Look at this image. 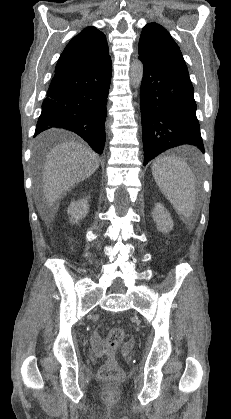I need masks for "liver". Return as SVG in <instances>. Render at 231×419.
Returning a JSON list of instances; mask_svg holds the SVG:
<instances>
[{"mask_svg": "<svg viewBox=\"0 0 231 419\" xmlns=\"http://www.w3.org/2000/svg\"><path fill=\"white\" fill-rule=\"evenodd\" d=\"M38 138L41 144L47 138ZM99 167L97 154L89 147L77 142H63L52 149L44 165L42 187L43 204L39 213L48 222L54 217V204L68 190L90 177Z\"/></svg>", "mask_w": 231, "mask_h": 419, "instance_id": "6515ba94", "label": "liver"}]
</instances>
